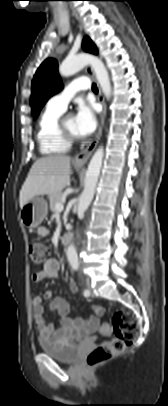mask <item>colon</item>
Masks as SVG:
<instances>
[{
    "mask_svg": "<svg viewBox=\"0 0 168 406\" xmlns=\"http://www.w3.org/2000/svg\"><path fill=\"white\" fill-rule=\"evenodd\" d=\"M29 258L34 266L42 265L49 257V249L46 245L33 242L28 249ZM139 325L133 314L119 310L115 312L112 319L105 322L101 332L105 335L114 333V338L109 342L97 345L87 356L89 365L101 364L114 356L124 352L137 337Z\"/></svg>",
    "mask_w": 168,
    "mask_h": 406,
    "instance_id": "colon-1",
    "label": "colon"
}]
</instances>
